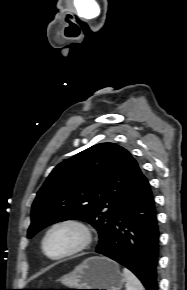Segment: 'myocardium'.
Wrapping results in <instances>:
<instances>
[{
    "instance_id": "f54148a6",
    "label": "myocardium",
    "mask_w": 187,
    "mask_h": 290,
    "mask_svg": "<svg viewBox=\"0 0 187 290\" xmlns=\"http://www.w3.org/2000/svg\"><path fill=\"white\" fill-rule=\"evenodd\" d=\"M72 228L79 234V242L70 250L60 254V255H50L46 250V242L49 238V236L57 229L59 228ZM93 241V232L90 226L82 219L75 218V217H69L60 219L53 224L50 225V227L46 230L43 238H42V251L45 254L46 257L52 260H61L65 258H69L71 256H74L85 249H87Z\"/></svg>"
}]
</instances>
